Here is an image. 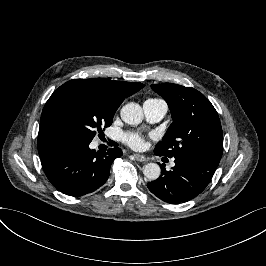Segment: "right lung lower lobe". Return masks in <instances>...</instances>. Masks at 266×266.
I'll list each match as a JSON object with an SVG mask.
<instances>
[{"instance_id":"98d812e1","label":"right lung lower lobe","mask_w":266,"mask_h":266,"mask_svg":"<svg viewBox=\"0 0 266 266\" xmlns=\"http://www.w3.org/2000/svg\"><path fill=\"white\" fill-rule=\"evenodd\" d=\"M90 142L60 141L41 157L43 170L60 192L82 196L95 191L108 179L110 166L122 155L118 147L100 154L89 148Z\"/></svg>"}]
</instances>
